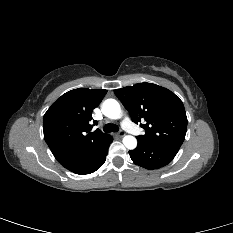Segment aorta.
<instances>
[{
  "label": "aorta",
  "mask_w": 233,
  "mask_h": 233,
  "mask_svg": "<svg viewBox=\"0 0 233 233\" xmlns=\"http://www.w3.org/2000/svg\"><path fill=\"white\" fill-rule=\"evenodd\" d=\"M102 113L109 119H119L121 118V107L120 104L115 99H106L101 106ZM124 146L133 150L137 146V139L134 136L127 135L123 138Z\"/></svg>",
  "instance_id": "1"
}]
</instances>
